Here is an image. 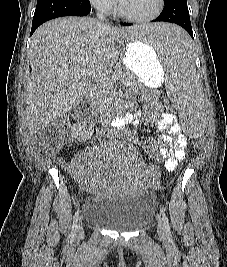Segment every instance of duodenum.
Returning a JSON list of instances; mask_svg holds the SVG:
<instances>
[{
    "label": "duodenum",
    "mask_w": 227,
    "mask_h": 267,
    "mask_svg": "<svg viewBox=\"0 0 227 267\" xmlns=\"http://www.w3.org/2000/svg\"><path fill=\"white\" fill-rule=\"evenodd\" d=\"M96 91L93 88H89L86 93V102L91 113L98 118H105L107 116L106 111L95 105Z\"/></svg>",
    "instance_id": "1"
}]
</instances>
